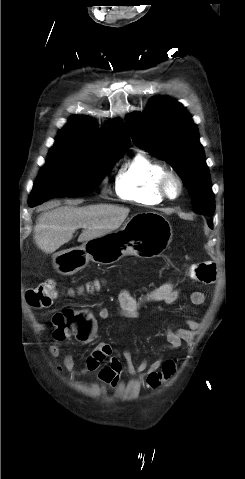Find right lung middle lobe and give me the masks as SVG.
<instances>
[{"instance_id":"1","label":"right lung middle lobe","mask_w":245,"mask_h":479,"mask_svg":"<svg viewBox=\"0 0 245 479\" xmlns=\"http://www.w3.org/2000/svg\"><path fill=\"white\" fill-rule=\"evenodd\" d=\"M124 152L91 149L75 142L56 140L34 184L29 205L93 192Z\"/></svg>"}]
</instances>
